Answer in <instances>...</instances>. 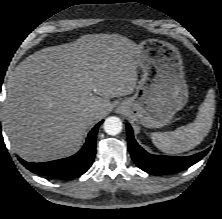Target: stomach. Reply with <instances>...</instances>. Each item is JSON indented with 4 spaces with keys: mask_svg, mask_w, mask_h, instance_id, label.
Instances as JSON below:
<instances>
[{
    "mask_svg": "<svg viewBox=\"0 0 222 219\" xmlns=\"http://www.w3.org/2000/svg\"><path fill=\"white\" fill-rule=\"evenodd\" d=\"M136 61L142 75L135 94L117 110L147 128L167 125L188 101L179 50L169 42L147 39L138 45Z\"/></svg>",
    "mask_w": 222,
    "mask_h": 219,
    "instance_id": "0dacf381",
    "label": "stomach"
}]
</instances>
